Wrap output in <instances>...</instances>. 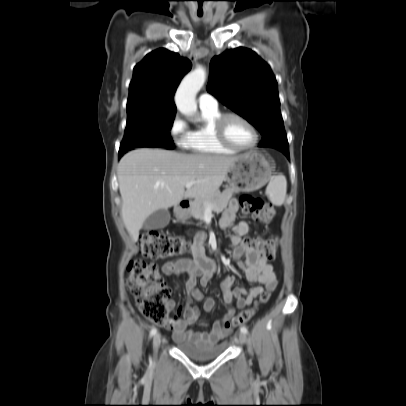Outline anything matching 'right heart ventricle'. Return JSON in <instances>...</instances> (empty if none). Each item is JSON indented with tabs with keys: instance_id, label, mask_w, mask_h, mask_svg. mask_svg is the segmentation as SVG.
Instances as JSON below:
<instances>
[{
	"instance_id": "obj_1",
	"label": "right heart ventricle",
	"mask_w": 406,
	"mask_h": 406,
	"mask_svg": "<svg viewBox=\"0 0 406 406\" xmlns=\"http://www.w3.org/2000/svg\"><path fill=\"white\" fill-rule=\"evenodd\" d=\"M203 123L190 132L186 147L198 154L231 155L236 151L221 145L214 132V124L221 115L217 108H201Z\"/></svg>"
}]
</instances>
